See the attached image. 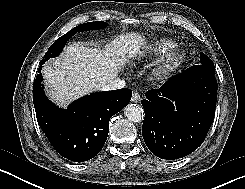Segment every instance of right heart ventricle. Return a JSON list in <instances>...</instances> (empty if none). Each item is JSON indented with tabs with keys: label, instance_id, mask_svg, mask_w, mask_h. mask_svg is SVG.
Segmentation results:
<instances>
[{
	"label": "right heart ventricle",
	"instance_id": "1",
	"mask_svg": "<svg viewBox=\"0 0 245 189\" xmlns=\"http://www.w3.org/2000/svg\"><path fill=\"white\" fill-rule=\"evenodd\" d=\"M175 47L176 44L173 41L167 39H161L150 45L149 53L152 56L159 57L165 55L168 51L172 50Z\"/></svg>",
	"mask_w": 245,
	"mask_h": 189
}]
</instances>
